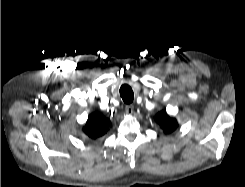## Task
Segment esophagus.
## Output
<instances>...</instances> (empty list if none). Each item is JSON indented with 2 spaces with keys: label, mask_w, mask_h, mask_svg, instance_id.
Listing matches in <instances>:
<instances>
[{
  "label": "esophagus",
  "mask_w": 245,
  "mask_h": 187,
  "mask_svg": "<svg viewBox=\"0 0 245 187\" xmlns=\"http://www.w3.org/2000/svg\"><path fill=\"white\" fill-rule=\"evenodd\" d=\"M125 111L127 114H132L134 112V105L130 104L125 107Z\"/></svg>",
  "instance_id": "1"
}]
</instances>
